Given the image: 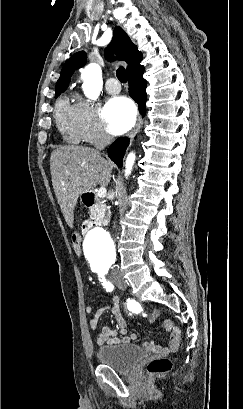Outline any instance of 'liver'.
Segmentation results:
<instances>
[{
	"instance_id": "liver-1",
	"label": "liver",
	"mask_w": 243,
	"mask_h": 409,
	"mask_svg": "<svg viewBox=\"0 0 243 409\" xmlns=\"http://www.w3.org/2000/svg\"><path fill=\"white\" fill-rule=\"evenodd\" d=\"M113 164L89 147L63 146L51 153L52 185L67 225L72 228L78 197L97 184L106 187Z\"/></svg>"
}]
</instances>
